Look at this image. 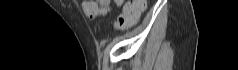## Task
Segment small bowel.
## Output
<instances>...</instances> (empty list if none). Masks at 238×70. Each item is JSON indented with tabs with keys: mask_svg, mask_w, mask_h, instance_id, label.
I'll list each match as a JSON object with an SVG mask.
<instances>
[{
	"mask_svg": "<svg viewBox=\"0 0 238 70\" xmlns=\"http://www.w3.org/2000/svg\"><path fill=\"white\" fill-rule=\"evenodd\" d=\"M113 2H115V0ZM111 3L112 1L110 0H98V1H92L91 3H89L88 1H84L82 2V8L84 12H86V9L88 8V6L93 5L99 9L106 10L110 7Z\"/></svg>",
	"mask_w": 238,
	"mask_h": 70,
	"instance_id": "c3829d8e",
	"label": "small bowel"
}]
</instances>
